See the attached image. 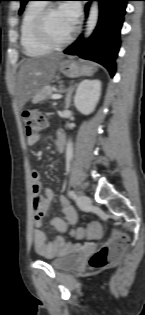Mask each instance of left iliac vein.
<instances>
[{"instance_id":"left-iliac-vein-1","label":"left iliac vein","mask_w":145,"mask_h":315,"mask_svg":"<svg viewBox=\"0 0 145 315\" xmlns=\"http://www.w3.org/2000/svg\"><path fill=\"white\" fill-rule=\"evenodd\" d=\"M77 204L81 208H86L91 205V199L86 195H80L77 199Z\"/></svg>"}]
</instances>
